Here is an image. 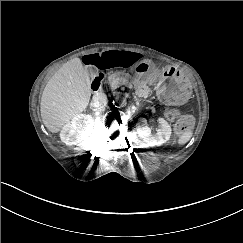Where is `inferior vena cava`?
Here are the masks:
<instances>
[{"label": "inferior vena cava", "mask_w": 243, "mask_h": 243, "mask_svg": "<svg viewBox=\"0 0 243 243\" xmlns=\"http://www.w3.org/2000/svg\"><path fill=\"white\" fill-rule=\"evenodd\" d=\"M93 103L96 104V105H104L107 103V97L104 93H96L94 96H93Z\"/></svg>", "instance_id": "inferior-vena-cava-1"}]
</instances>
